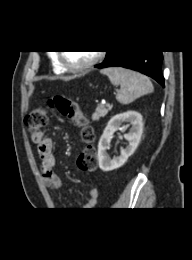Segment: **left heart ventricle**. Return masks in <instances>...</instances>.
<instances>
[{"label": "left heart ventricle", "instance_id": "b2bd125f", "mask_svg": "<svg viewBox=\"0 0 192 260\" xmlns=\"http://www.w3.org/2000/svg\"><path fill=\"white\" fill-rule=\"evenodd\" d=\"M94 56L95 52L92 51H67L64 53L66 62L73 66L85 64Z\"/></svg>", "mask_w": 192, "mask_h": 260}]
</instances>
